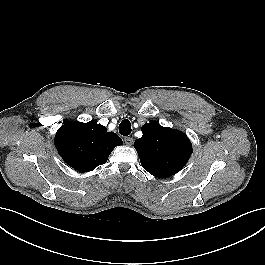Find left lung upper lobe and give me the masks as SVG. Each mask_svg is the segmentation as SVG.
Wrapping results in <instances>:
<instances>
[{"instance_id": "5c2ea615", "label": "left lung upper lobe", "mask_w": 265, "mask_h": 265, "mask_svg": "<svg viewBox=\"0 0 265 265\" xmlns=\"http://www.w3.org/2000/svg\"><path fill=\"white\" fill-rule=\"evenodd\" d=\"M143 133L134 143L142 167L156 177H169L183 168L192 154L186 134L156 122L142 126Z\"/></svg>"}]
</instances>
